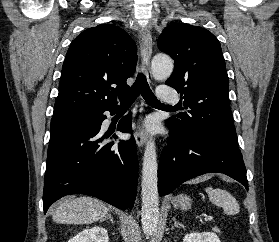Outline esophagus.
Masks as SVG:
<instances>
[{
	"label": "esophagus",
	"mask_w": 279,
	"mask_h": 242,
	"mask_svg": "<svg viewBox=\"0 0 279 242\" xmlns=\"http://www.w3.org/2000/svg\"><path fill=\"white\" fill-rule=\"evenodd\" d=\"M141 57H142V71L146 75L148 81L152 80L150 73V58L152 53V36L148 29H142L139 33ZM135 139L138 147H143L147 140V135L140 127L139 122L135 126Z\"/></svg>",
	"instance_id": "obj_1"
}]
</instances>
